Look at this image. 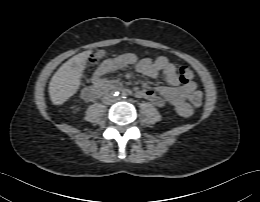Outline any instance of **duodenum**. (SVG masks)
<instances>
[{
    "label": "duodenum",
    "instance_id": "obj_1",
    "mask_svg": "<svg viewBox=\"0 0 260 202\" xmlns=\"http://www.w3.org/2000/svg\"><path fill=\"white\" fill-rule=\"evenodd\" d=\"M112 89H114V87L111 83L100 82L95 86L92 85V86H89V87H86L85 89H83L82 97H83V99H85L87 101H93L101 94H103L109 90H112Z\"/></svg>",
    "mask_w": 260,
    "mask_h": 202
}]
</instances>
